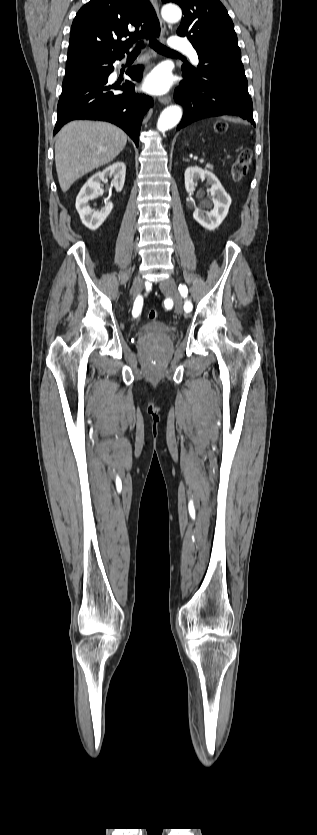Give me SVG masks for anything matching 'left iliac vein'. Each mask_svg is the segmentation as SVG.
I'll use <instances>...</instances> for the list:
<instances>
[{
    "label": "left iliac vein",
    "mask_w": 317,
    "mask_h": 835,
    "mask_svg": "<svg viewBox=\"0 0 317 835\" xmlns=\"http://www.w3.org/2000/svg\"><path fill=\"white\" fill-rule=\"evenodd\" d=\"M160 289L163 293H165L173 300L176 311L180 314L183 313V301L177 289L174 278L169 277L160 282Z\"/></svg>",
    "instance_id": "1"
}]
</instances>
